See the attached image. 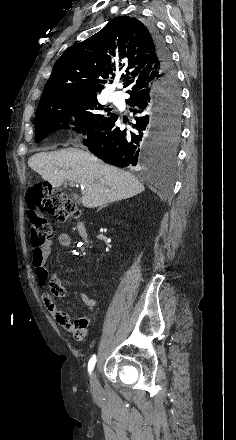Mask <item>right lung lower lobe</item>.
Instances as JSON below:
<instances>
[{
    "mask_svg": "<svg viewBox=\"0 0 236 440\" xmlns=\"http://www.w3.org/2000/svg\"><path fill=\"white\" fill-rule=\"evenodd\" d=\"M160 63V79L153 85L129 93L134 112L131 129H120V118L111 114L95 128L83 133V144L97 157L117 167L145 168L160 158L159 135L164 129L166 111L173 101L164 97L167 88L178 87L172 58L163 37L148 26Z\"/></svg>",
    "mask_w": 236,
    "mask_h": 440,
    "instance_id": "right-lung-lower-lobe-1",
    "label": "right lung lower lobe"
}]
</instances>
